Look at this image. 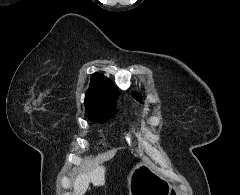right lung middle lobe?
<instances>
[{
  "instance_id": "obj_1",
  "label": "right lung middle lobe",
  "mask_w": 240,
  "mask_h": 195,
  "mask_svg": "<svg viewBox=\"0 0 240 195\" xmlns=\"http://www.w3.org/2000/svg\"><path fill=\"white\" fill-rule=\"evenodd\" d=\"M86 114L92 122L103 123L115 115L116 103L113 104H85Z\"/></svg>"
}]
</instances>
